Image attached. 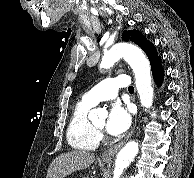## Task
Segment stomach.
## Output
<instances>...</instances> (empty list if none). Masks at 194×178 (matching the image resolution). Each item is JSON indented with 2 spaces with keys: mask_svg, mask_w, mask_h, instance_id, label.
Returning <instances> with one entry per match:
<instances>
[{
  "mask_svg": "<svg viewBox=\"0 0 194 178\" xmlns=\"http://www.w3.org/2000/svg\"><path fill=\"white\" fill-rule=\"evenodd\" d=\"M104 163H109L110 162V159H103L102 160Z\"/></svg>",
  "mask_w": 194,
  "mask_h": 178,
  "instance_id": "obj_1",
  "label": "stomach"
}]
</instances>
